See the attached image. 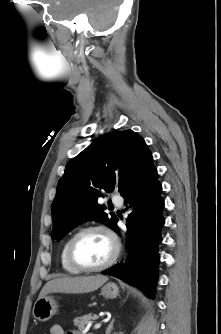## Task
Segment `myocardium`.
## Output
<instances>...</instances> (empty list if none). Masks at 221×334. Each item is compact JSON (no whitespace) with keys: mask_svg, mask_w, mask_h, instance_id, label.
<instances>
[{"mask_svg":"<svg viewBox=\"0 0 221 334\" xmlns=\"http://www.w3.org/2000/svg\"><path fill=\"white\" fill-rule=\"evenodd\" d=\"M94 230L103 231L109 236L113 244V251L109 259L105 263L98 265V266H84L80 264L74 257V252H73L74 245L77 239L81 235H83L86 232L94 231ZM119 253H120V241L118 239V236L109 226L104 225V224H91V225L82 227L70 238L68 246H67L68 262L77 270L84 271V272H98V271H102V270L109 268L116 261V259L119 256Z\"/></svg>","mask_w":221,"mask_h":334,"instance_id":"1","label":"myocardium"}]
</instances>
